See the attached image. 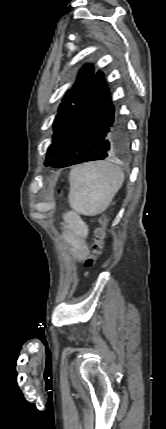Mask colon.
<instances>
[{
    "label": "colon",
    "instance_id": "1",
    "mask_svg": "<svg viewBox=\"0 0 166 429\" xmlns=\"http://www.w3.org/2000/svg\"><path fill=\"white\" fill-rule=\"evenodd\" d=\"M107 223H108V217L106 214H103L101 217V226H99L95 230V239L91 246L90 254L86 257L84 261L85 267L87 269L93 267L96 264L97 257L103 251Z\"/></svg>",
    "mask_w": 166,
    "mask_h": 429
}]
</instances>
